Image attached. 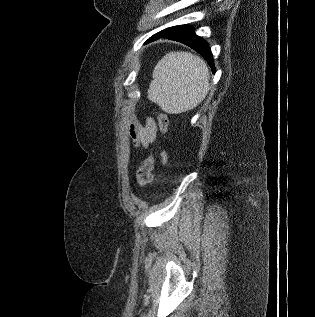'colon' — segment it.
<instances>
[{
	"label": "colon",
	"mask_w": 315,
	"mask_h": 317,
	"mask_svg": "<svg viewBox=\"0 0 315 317\" xmlns=\"http://www.w3.org/2000/svg\"><path fill=\"white\" fill-rule=\"evenodd\" d=\"M169 124L168 115L161 111L158 116V125L159 129L162 135H164L167 132ZM154 169H155V153H151L147 156V158L144 160L143 164L140 166V168L137 171L136 178H137V184L140 188H143L147 185H149L154 178Z\"/></svg>",
	"instance_id": "colon-1"
}]
</instances>
